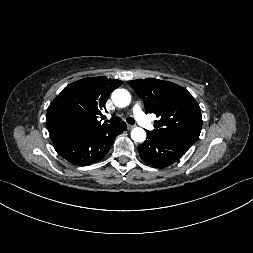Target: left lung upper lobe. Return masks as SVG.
I'll return each mask as SVG.
<instances>
[{"mask_svg":"<svg viewBox=\"0 0 253 253\" xmlns=\"http://www.w3.org/2000/svg\"><path fill=\"white\" fill-rule=\"evenodd\" d=\"M144 101L146 113L159 118L154 122L155 136L193 145L202 127L200 107L183 87L154 78L128 81Z\"/></svg>","mask_w":253,"mask_h":253,"instance_id":"1","label":"left lung upper lobe"}]
</instances>
